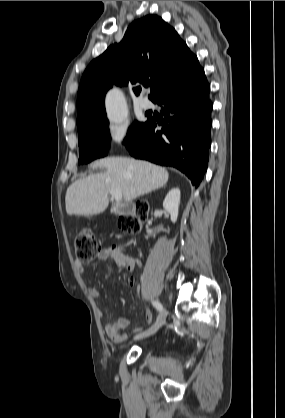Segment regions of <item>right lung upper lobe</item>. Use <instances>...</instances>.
<instances>
[{"mask_svg": "<svg viewBox=\"0 0 285 418\" xmlns=\"http://www.w3.org/2000/svg\"><path fill=\"white\" fill-rule=\"evenodd\" d=\"M201 69L197 57L162 18L147 15L138 19L119 44L111 45L85 70L78 89L77 125L106 113L104 98L113 85L149 83V99L156 103ZM133 91L139 95L141 87Z\"/></svg>", "mask_w": 285, "mask_h": 418, "instance_id": "right-lung-upper-lobe-1", "label": "right lung upper lobe"}]
</instances>
